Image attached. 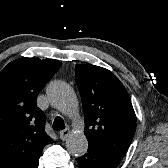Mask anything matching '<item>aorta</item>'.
Masks as SVG:
<instances>
[{
  "label": "aorta",
  "instance_id": "aorta-1",
  "mask_svg": "<svg viewBox=\"0 0 168 168\" xmlns=\"http://www.w3.org/2000/svg\"><path fill=\"white\" fill-rule=\"evenodd\" d=\"M47 97L50 103L63 114L73 118L78 113L77 96L67 83L55 81L47 87ZM68 152L76 157L82 156L87 152L88 141L82 131L73 132L66 140Z\"/></svg>",
  "mask_w": 168,
  "mask_h": 168
}]
</instances>
